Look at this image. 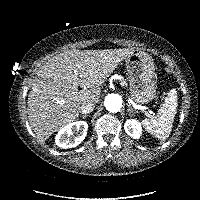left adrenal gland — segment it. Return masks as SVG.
<instances>
[{"mask_svg":"<svg viewBox=\"0 0 200 200\" xmlns=\"http://www.w3.org/2000/svg\"><path fill=\"white\" fill-rule=\"evenodd\" d=\"M127 106H128L127 112L129 115H131V113H136L135 110L129 104Z\"/></svg>","mask_w":200,"mask_h":200,"instance_id":"obj_1","label":"left adrenal gland"}]
</instances>
